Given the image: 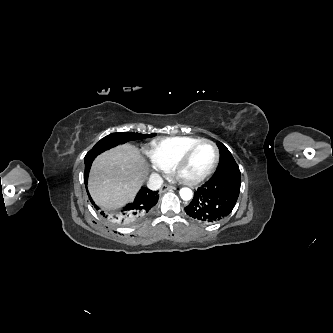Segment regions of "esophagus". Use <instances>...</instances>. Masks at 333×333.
Returning a JSON list of instances; mask_svg holds the SVG:
<instances>
[{
	"mask_svg": "<svg viewBox=\"0 0 333 333\" xmlns=\"http://www.w3.org/2000/svg\"><path fill=\"white\" fill-rule=\"evenodd\" d=\"M173 189H176V187L165 184V185L161 188V191H160V192L163 193V192H166V191H169V190H173Z\"/></svg>",
	"mask_w": 333,
	"mask_h": 333,
	"instance_id": "1",
	"label": "esophagus"
}]
</instances>
